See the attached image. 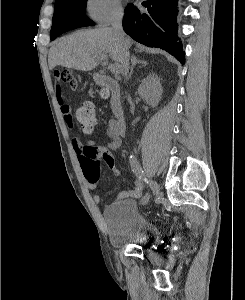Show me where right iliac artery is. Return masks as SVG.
Instances as JSON below:
<instances>
[{
    "mask_svg": "<svg viewBox=\"0 0 245 300\" xmlns=\"http://www.w3.org/2000/svg\"><path fill=\"white\" fill-rule=\"evenodd\" d=\"M130 165H131V168L133 170V172L139 177V179L143 180L145 183H147V178L144 177V173H143V170L141 169L137 159L131 155L130 156ZM150 197L148 195V193L143 196L142 198V201H141V205H148L150 203Z\"/></svg>",
    "mask_w": 245,
    "mask_h": 300,
    "instance_id": "82829eb1",
    "label": "right iliac artery"
}]
</instances>
